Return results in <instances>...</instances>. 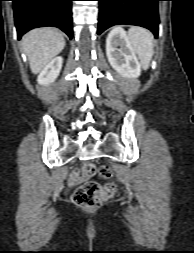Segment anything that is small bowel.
Returning a JSON list of instances; mask_svg holds the SVG:
<instances>
[{
    "mask_svg": "<svg viewBox=\"0 0 194 253\" xmlns=\"http://www.w3.org/2000/svg\"><path fill=\"white\" fill-rule=\"evenodd\" d=\"M80 181H81V178H80V176H79L78 171H73V172L70 174V177H69V184H70L71 186H74V185L78 184Z\"/></svg>",
    "mask_w": 194,
    "mask_h": 253,
    "instance_id": "small-bowel-1",
    "label": "small bowel"
}]
</instances>
